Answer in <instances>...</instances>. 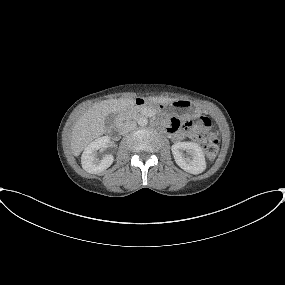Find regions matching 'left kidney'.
Listing matches in <instances>:
<instances>
[{
  "instance_id": "5707ae66",
  "label": "left kidney",
  "mask_w": 285,
  "mask_h": 285,
  "mask_svg": "<svg viewBox=\"0 0 285 285\" xmlns=\"http://www.w3.org/2000/svg\"><path fill=\"white\" fill-rule=\"evenodd\" d=\"M171 150L177 165L186 172L199 174L206 169L203 150L197 143L177 142L172 145Z\"/></svg>"
}]
</instances>
